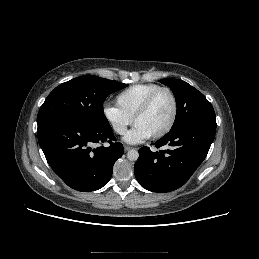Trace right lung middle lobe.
<instances>
[{
  "label": "right lung middle lobe",
  "mask_w": 259,
  "mask_h": 259,
  "mask_svg": "<svg viewBox=\"0 0 259 259\" xmlns=\"http://www.w3.org/2000/svg\"><path fill=\"white\" fill-rule=\"evenodd\" d=\"M127 84L84 75L56 87L41 106L38 126L57 118H74L94 125H108L103 103L108 95Z\"/></svg>",
  "instance_id": "1"
}]
</instances>
